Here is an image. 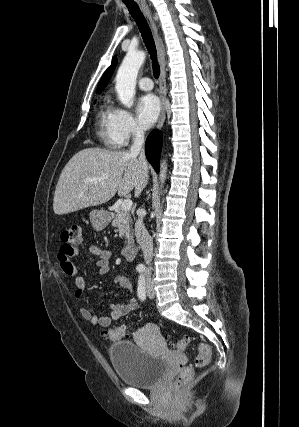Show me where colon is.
I'll return each mask as SVG.
<instances>
[{"label": "colon", "mask_w": 299, "mask_h": 427, "mask_svg": "<svg viewBox=\"0 0 299 427\" xmlns=\"http://www.w3.org/2000/svg\"><path fill=\"white\" fill-rule=\"evenodd\" d=\"M62 240L72 246H77L81 242V227L80 226H72L62 233ZM105 335L113 340H121L128 335V331L124 327H115L107 332ZM189 344V340L187 338H183L179 340L174 348L178 351H184ZM211 348L209 345L205 343H200L198 345V354L195 358V366L196 367H205L211 360ZM194 371L192 367H184L181 372L178 374L175 387L179 391H183L186 389L187 385L192 380Z\"/></svg>", "instance_id": "1"}]
</instances>
